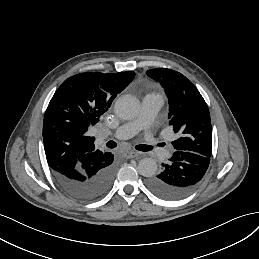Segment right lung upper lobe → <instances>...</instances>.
<instances>
[{"mask_svg": "<svg viewBox=\"0 0 259 259\" xmlns=\"http://www.w3.org/2000/svg\"><path fill=\"white\" fill-rule=\"evenodd\" d=\"M133 71L87 72L66 79L53 95L43 121V142L52 170L73 174L100 161L106 152L95 148L87 135L114 98L134 78Z\"/></svg>", "mask_w": 259, "mask_h": 259, "instance_id": "cb5924a9", "label": "right lung upper lobe"}]
</instances>
